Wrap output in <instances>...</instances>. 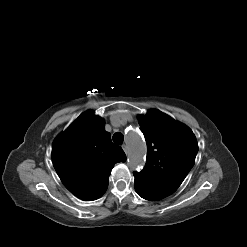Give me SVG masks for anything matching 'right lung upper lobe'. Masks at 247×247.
<instances>
[{
  "mask_svg": "<svg viewBox=\"0 0 247 247\" xmlns=\"http://www.w3.org/2000/svg\"><path fill=\"white\" fill-rule=\"evenodd\" d=\"M104 126V119L87 111L53 142L57 174L71 193L85 201L101 197L114 164L126 161L124 151L112 143Z\"/></svg>",
  "mask_w": 247,
  "mask_h": 247,
  "instance_id": "1",
  "label": "right lung upper lobe"
}]
</instances>
